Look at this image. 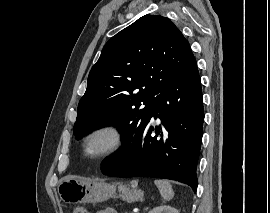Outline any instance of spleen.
<instances>
[{
  "instance_id": "obj_1",
  "label": "spleen",
  "mask_w": 270,
  "mask_h": 213,
  "mask_svg": "<svg viewBox=\"0 0 270 213\" xmlns=\"http://www.w3.org/2000/svg\"><path fill=\"white\" fill-rule=\"evenodd\" d=\"M154 183L159 189V192L164 200L169 201L174 197V192L170 182L166 180H155Z\"/></svg>"
}]
</instances>
